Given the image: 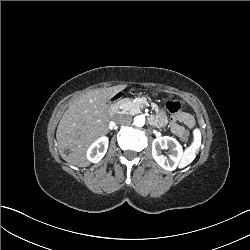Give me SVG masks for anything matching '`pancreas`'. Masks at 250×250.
Returning <instances> with one entry per match:
<instances>
[{
    "label": "pancreas",
    "mask_w": 250,
    "mask_h": 250,
    "mask_svg": "<svg viewBox=\"0 0 250 250\" xmlns=\"http://www.w3.org/2000/svg\"><path fill=\"white\" fill-rule=\"evenodd\" d=\"M137 108V103L133 102V101H129L126 107V110H123L122 112H127V113H131L133 112L135 109Z\"/></svg>",
    "instance_id": "1"
}]
</instances>
